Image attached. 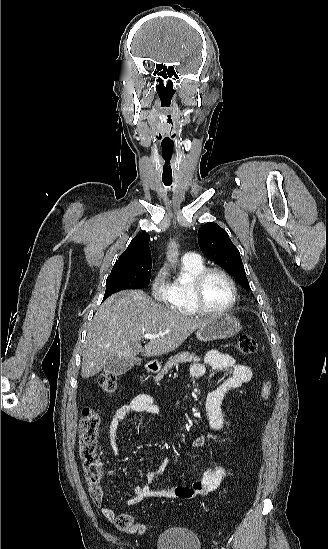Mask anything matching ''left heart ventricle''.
<instances>
[{
	"label": "left heart ventricle",
	"instance_id": "1",
	"mask_svg": "<svg viewBox=\"0 0 328 549\" xmlns=\"http://www.w3.org/2000/svg\"><path fill=\"white\" fill-rule=\"evenodd\" d=\"M202 297L206 304L201 305L207 309H221L226 306L232 297V288L220 273H211L205 279L202 286Z\"/></svg>",
	"mask_w": 328,
	"mask_h": 549
}]
</instances>
